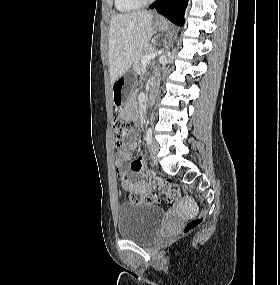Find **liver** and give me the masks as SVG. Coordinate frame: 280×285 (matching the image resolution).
Masks as SVG:
<instances>
[{
	"instance_id": "6515ba94",
	"label": "liver",
	"mask_w": 280,
	"mask_h": 285,
	"mask_svg": "<svg viewBox=\"0 0 280 285\" xmlns=\"http://www.w3.org/2000/svg\"><path fill=\"white\" fill-rule=\"evenodd\" d=\"M153 14L134 11L111 18L109 28V72L111 83L126 73L152 37Z\"/></svg>"
}]
</instances>
